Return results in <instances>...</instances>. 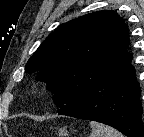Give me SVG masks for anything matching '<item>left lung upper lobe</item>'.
<instances>
[{"label":"left lung upper lobe","instance_id":"obj_1","mask_svg":"<svg viewBox=\"0 0 144 137\" xmlns=\"http://www.w3.org/2000/svg\"><path fill=\"white\" fill-rule=\"evenodd\" d=\"M129 30L123 18L98 11L59 26L26 65L47 82L61 109L92 89L129 56Z\"/></svg>","mask_w":144,"mask_h":137}]
</instances>
